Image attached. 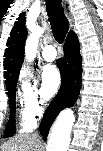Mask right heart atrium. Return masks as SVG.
Instances as JSON below:
<instances>
[{
  "label": "right heart atrium",
  "mask_w": 103,
  "mask_h": 151,
  "mask_svg": "<svg viewBox=\"0 0 103 151\" xmlns=\"http://www.w3.org/2000/svg\"><path fill=\"white\" fill-rule=\"evenodd\" d=\"M21 102L27 116L35 119L39 116L45 106V101L37 86L27 79H23L20 87Z\"/></svg>",
  "instance_id": "obj_1"
}]
</instances>
